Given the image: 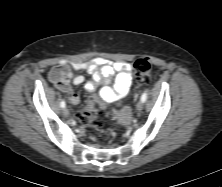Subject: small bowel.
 <instances>
[{
	"instance_id": "1",
	"label": "small bowel",
	"mask_w": 222,
	"mask_h": 187,
	"mask_svg": "<svg viewBox=\"0 0 222 187\" xmlns=\"http://www.w3.org/2000/svg\"><path fill=\"white\" fill-rule=\"evenodd\" d=\"M72 70H85L92 75V80L85 82L83 75L74 74ZM114 73H117L114 85L103 86L99 90V97L108 103H120L130 94L131 66L127 62H112L101 57L87 62L63 61L50 70L48 77L58 90L69 93V101L72 105H78L80 97L72 90L71 83L84 84L85 89L92 93L99 84H107ZM128 113V109L123 108L118 112V117L125 118Z\"/></svg>"
}]
</instances>
